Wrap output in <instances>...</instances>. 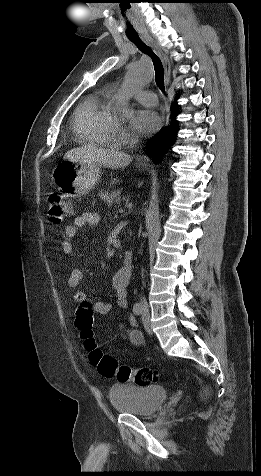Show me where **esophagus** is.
I'll use <instances>...</instances> for the list:
<instances>
[{"instance_id": "esophagus-1", "label": "esophagus", "mask_w": 261, "mask_h": 476, "mask_svg": "<svg viewBox=\"0 0 261 476\" xmlns=\"http://www.w3.org/2000/svg\"><path fill=\"white\" fill-rule=\"evenodd\" d=\"M143 39L146 42L148 46H150L154 52L158 55V57L161 59L164 70H165V83L166 85L169 84L170 82V76H171V64L168 56L162 51V49L158 46V44L154 41V39L149 35L145 34L143 35ZM169 124V115L166 117V126Z\"/></svg>"}]
</instances>
